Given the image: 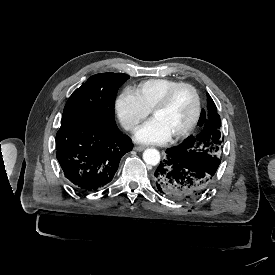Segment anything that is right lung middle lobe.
I'll return each instance as SVG.
<instances>
[{
    "mask_svg": "<svg viewBox=\"0 0 275 275\" xmlns=\"http://www.w3.org/2000/svg\"><path fill=\"white\" fill-rule=\"evenodd\" d=\"M129 79L123 73H100L91 76L69 97L63 119L83 118L101 127L115 126L114 105L117 90Z\"/></svg>",
    "mask_w": 275,
    "mask_h": 275,
    "instance_id": "right-lung-middle-lobe-1",
    "label": "right lung middle lobe"
}]
</instances>
